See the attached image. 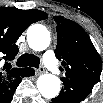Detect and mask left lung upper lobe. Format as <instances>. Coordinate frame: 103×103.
Returning <instances> with one entry per match:
<instances>
[{
  "label": "left lung upper lobe",
  "instance_id": "left-lung-upper-lobe-1",
  "mask_svg": "<svg viewBox=\"0 0 103 103\" xmlns=\"http://www.w3.org/2000/svg\"><path fill=\"white\" fill-rule=\"evenodd\" d=\"M57 24L56 58L62 61L65 79L95 85L100 81L102 62L89 36L76 22L62 16L54 17Z\"/></svg>",
  "mask_w": 103,
  "mask_h": 103
}]
</instances>
